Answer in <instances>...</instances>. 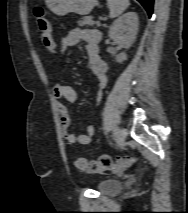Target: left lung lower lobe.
<instances>
[{
	"label": "left lung lower lobe",
	"instance_id": "left-lung-lower-lobe-1",
	"mask_svg": "<svg viewBox=\"0 0 188 213\" xmlns=\"http://www.w3.org/2000/svg\"><path fill=\"white\" fill-rule=\"evenodd\" d=\"M137 1H139L143 5V7L148 12L149 16H151L152 15V11H153V2H154V0H137Z\"/></svg>",
	"mask_w": 188,
	"mask_h": 213
}]
</instances>
